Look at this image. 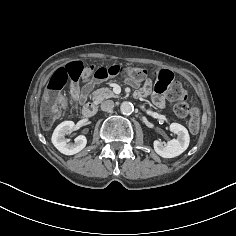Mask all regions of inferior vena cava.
<instances>
[{"mask_svg": "<svg viewBox=\"0 0 236 236\" xmlns=\"http://www.w3.org/2000/svg\"><path fill=\"white\" fill-rule=\"evenodd\" d=\"M114 108V102L112 100H106L101 103V110L110 111Z\"/></svg>", "mask_w": 236, "mask_h": 236, "instance_id": "obj_1", "label": "inferior vena cava"}]
</instances>
